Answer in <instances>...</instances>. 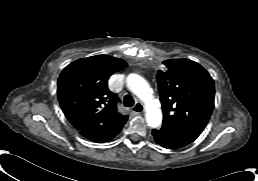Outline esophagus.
<instances>
[{"label":"esophagus","mask_w":258,"mask_h":181,"mask_svg":"<svg viewBox=\"0 0 258 181\" xmlns=\"http://www.w3.org/2000/svg\"><path fill=\"white\" fill-rule=\"evenodd\" d=\"M133 113L135 114H141L144 111V106L142 103H136L135 106L132 109Z\"/></svg>","instance_id":"obj_1"}]
</instances>
